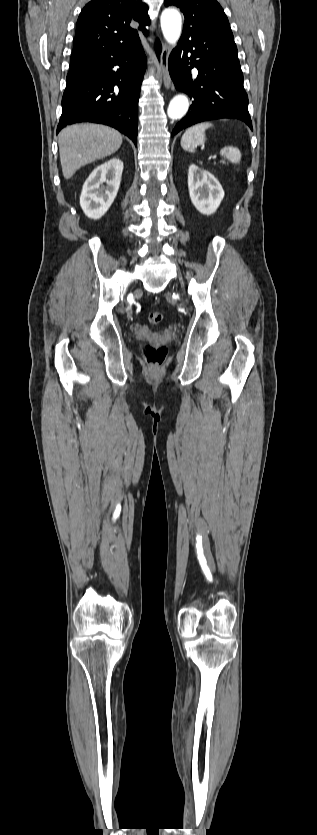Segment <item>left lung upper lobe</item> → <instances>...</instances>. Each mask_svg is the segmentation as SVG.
<instances>
[{"mask_svg":"<svg viewBox=\"0 0 317 835\" xmlns=\"http://www.w3.org/2000/svg\"><path fill=\"white\" fill-rule=\"evenodd\" d=\"M165 6L180 8L185 17L182 36L198 31H214L234 39L229 21L215 0H165Z\"/></svg>","mask_w":317,"mask_h":835,"instance_id":"5c2ea615","label":"left lung upper lobe"}]
</instances>
